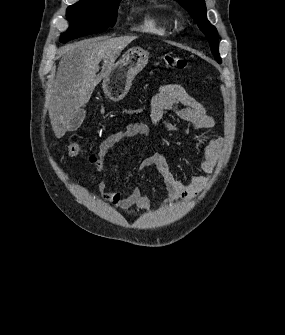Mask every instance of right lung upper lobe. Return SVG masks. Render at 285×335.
Returning a JSON list of instances; mask_svg holds the SVG:
<instances>
[{
    "instance_id": "cb5924a9",
    "label": "right lung upper lobe",
    "mask_w": 285,
    "mask_h": 335,
    "mask_svg": "<svg viewBox=\"0 0 285 335\" xmlns=\"http://www.w3.org/2000/svg\"><path fill=\"white\" fill-rule=\"evenodd\" d=\"M93 1H99L106 4H118L121 0H93Z\"/></svg>"
}]
</instances>
